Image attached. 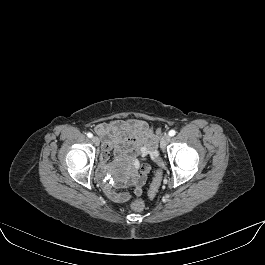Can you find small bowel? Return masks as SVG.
<instances>
[{
	"mask_svg": "<svg viewBox=\"0 0 265 265\" xmlns=\"http://www.w3.org/2000/svg\"><path fill=\"white\" fill-rule=\"evenodd\" d=\"M95 131L101 136L103 142L100 154V174L108 169L110 152H113L118 159L131 160L135 167L140 168V172L132 174L130 179H116L111 185L103 182L102 187L107 196L117 203L127 201L130 193L117 191L115 187L118 186H129L135 196H140L150 172V167L145 162L148 159H158V132L147 122L131 118L100 123L95 127Z\"/></svg>",
	"mask_w": 265,
	"mask_h": 265,
	"instance_id": "c3829d8e",
	"label": "small bowel"
}]
</instances>
